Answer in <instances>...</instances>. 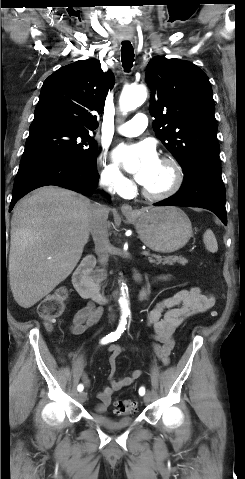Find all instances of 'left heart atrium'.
Returning a JSON list of instances; mask_svg holds the SVG:
<instances>
[{"label": "left heart atrium", "mask_w": 245, "mask_h": 479, "mask_svg": "<svg viewBox=\"0 0 245 479\" xmlns=\"http://www.w3.org/2000/svg\"><path fill=\"white\" fill-rule=\"evenodd\" d=\"M113 156L119 162L124 161L128 157L136 158L139 167L135 173V179L143 186L148 183L160 162L154 147L148 142L129 146L121 145L114 150Z\"/></svg>", "instance_id": "1"}]
</instances>
